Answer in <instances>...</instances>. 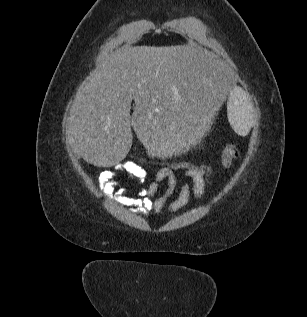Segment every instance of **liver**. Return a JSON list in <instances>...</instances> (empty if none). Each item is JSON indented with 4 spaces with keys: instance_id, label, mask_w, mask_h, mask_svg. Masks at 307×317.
<instances>
[{
    "instance_id": "6515ba94",
    "label": "liver",
    "mask_w": 307,
    "mask_h": 317,
    "mask_svg": "<svg viewBox=\"0 0 307 317\" xmlns=\"http://www.w3.org/2000/svg\"><path fill=\"white\" fill-rule=\"evenodd\" d=\"M227 73L217 56L185 45L123 49L77 92L66 132L69 144L77 157L108 167L127 155L132 127L148 159L178 154L180 147L185 154L195 145L184 141L210 127L207 121L228 103L233 85ZM197 139L200 149H211L220 136Z\"/></svg>"
}]
</instances>
